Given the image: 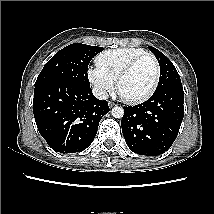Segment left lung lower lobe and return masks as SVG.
I'll list each match as a JSON object with an SVG mask.
<instances>
[{"label":"left lung lower lobe","mask_w":214,"mask_h":214,"mask_svg":"<svg viewBox=\"0 0 214 214\" xmlns=\"http://www.w3.org/2000/svg\"><path fill=\"white\" fill-rule=\"evenodd\" d=\"M182 84L155 91L146 102L124 107L121 120L123 136L131 151L156 156L175 141L184 116Z\"/></svg>","instance_id":"0a47b994"}]
</instances>
